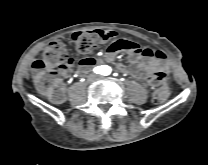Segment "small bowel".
Returning <instances> with one entry per match:
<instances>
[{
    "mask_svg": "<svg viewBox=\"0 0 208 165\" xmlns=\"http://www.w3.org/2000/svg\"><path fill=\"white\" fill-rule=\"evenodd\" d=\"M105 39L102 42L112 41L105 51L107 60H113L119 53H125L129 65L119 63L118 70L124 74H131L136 78L143 79L148 86H158L166 82L170 70V62L162 51L150 48H141L136 42L127 39H116L117 33L113 30L103 31ZM100 56L78 57L77 63L81 67H91L100 63ZM60 75L69 77L70 67L60 70ZM56 100V101H61Z\"/></svg>",
    "mask_w": 208,
    "mask_h": 165,
    "instance_id": "1",
    "label": "small bowel"
}]
</instances>
